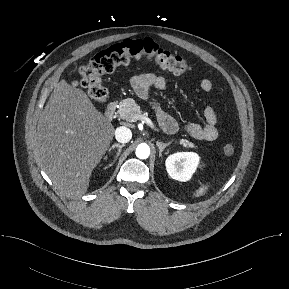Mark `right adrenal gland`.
Listing matches in <instances>:
<instances>
[{"label":"right adrenal gland","instance_id":"1","mask_svg":"<svg viewBox=\"0 0 289 289\" xmlns=\"http://www.w3.org/2000/svg\"><path fill=\"white\" fill-rule=\"evenodd\" d=\"M124 147V144H114V145H112L109 149H108V151H109V153L113 150V149H115V148H118V152H117V155H116V157H115V159L113 160V162L112 163H110L106 168H109V167H111L114 163H115V161L117 160V158H118V156L120 155V153H121V150H122V148Z\"/></svg>","mask_w":289,"mask_h":289}]
</instances>
